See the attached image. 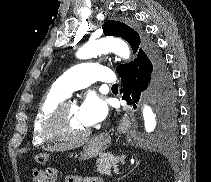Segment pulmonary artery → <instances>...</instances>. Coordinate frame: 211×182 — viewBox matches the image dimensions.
I'll use <instances>...</instances> for the list:
<instances>
[{"mask_svg":"<svg viewBox=\"0 0 211 182\" xmlns=\"http://www.w3.org/2000/svg\"><path fill=\"white\" fill-rule=\"evenodd\" d=\"M98 80L116 83V77L110 68L97 63H81L63 73L54 83V87L68 97L73 91Z\"/></svg>","mask_w":211,"mask_h":182,"instance_id":"1","label":"pulmonary artery"}]
</instances>
